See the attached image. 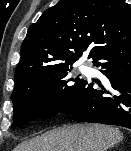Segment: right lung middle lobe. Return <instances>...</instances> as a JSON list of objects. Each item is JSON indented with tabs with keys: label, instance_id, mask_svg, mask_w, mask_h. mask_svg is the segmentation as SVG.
I'll list each match as a JSON object with an SVG mask.
<instances>
[{
	"label": "right lung middle lobe",
	"instance_id": "right-lung-middle-lobe-1",
	"mask_svg": "<svg viewBox=\"0 0 131 151\" xmlns=\"http://www.w3.org/2000/svg\"><path fill=\"white\" fill-rule=\"evenodd\" d=\"M71 66L45 73L14 89L11 99L15 125L21 126L31 119L48 118L60 112L83 81L79 76H69Z\"/></svg>",
	"mask_w": 131,
	"mask_h": 151
}]
</instances>
